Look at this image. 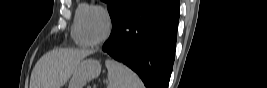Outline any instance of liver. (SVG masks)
Wrapping results in <instances>:
<instances>
[{"label": "liver", "instance_id": "1", "mask_svg": "<svg viewBox=\"0 0 267 88\" xmlns=\"http://www.w3.org/2000/svg\"><path fill=\"white\" fill-rule=\"evenodd\" d=\"M92 51L56 49L44 54L31 73L30 88H61Z\"/></svg>", "mask_w": 267, "mask_h": 88}]
</instances>
